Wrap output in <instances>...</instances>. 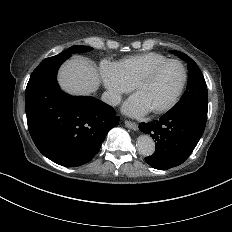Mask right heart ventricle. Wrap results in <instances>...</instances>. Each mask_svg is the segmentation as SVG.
I'll list each match as a JSON object with an SVG mask.
<instances>
[{
  "label": "right heart ventricle",
  "mask_w": 232,
  "mask_h": 232,
  "mask_svg": "<svg viewBox=\"0 0 232 232\" xmlns=\"http://www.w3.org/2000/svg\"><path fill=\"white\" fill-rule=\"evenodd\" d=\"M168 59V56L157 51H142L120 59L117 64L119 73L128 86L155 64Z\"/></svg>",
  "instance_id": "obj_1"
}]
</instances>
